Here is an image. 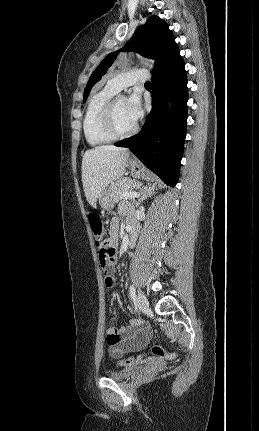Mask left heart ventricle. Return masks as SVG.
Returning <instances> with one entry per match:
<instances>
[{
  "mask_svg": "<svg viewBox=\"0 0 259 431\" xmlns=\"http://www.w3.org/2000/svg\"><path fill=\"white\" fill-rule=\"evenodd\" d=\"M115 119L118 128L122 131L131 129L135 124L126 112V99L123 97H120L116 102Z\"/></svg>",
  "mask_w": 259,
  "mask_h": 431,
  "instance_id": "b2bd125f",
  "label": "left heart ventricle"
}]
</instances>
